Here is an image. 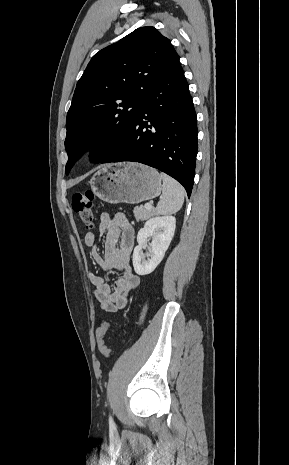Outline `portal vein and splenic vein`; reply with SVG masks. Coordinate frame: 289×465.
I'll list each match as a JSON object with an SVG mask.
<instances>
[{"instance_id":"obj_1","label":"portal vein and splenic vein","mask_w":289,"mask_h":465,"mask_svg":"<svg viewBox=\"0 0 289 465\" xmlns=\"http://www.w3.org/2000/svg\"><path fill=\"white\" fill-rule=\"evenodd\" d=\"M145 209H151L152 205L150 203H146L144 206Z\"/></svg>"}]
</instances>
